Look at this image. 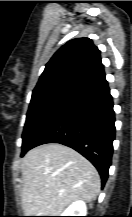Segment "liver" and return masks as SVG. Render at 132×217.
<instances>
[{
  "instance_id": "6515ba94",
  "label": "liver",
  "mask_w": 132,
  "mask_h": 217,
  "mask_svg": "<svg viewBox=\"0 0 132 217\" xmlns=\"http://www.w3.org/2000/svg\"><path fill=\"white\" fill-rule=\"evenodd\" d=\"M25 216H59L77 200L91 202L100 192L96 168L81 154L58 143L30 150L21 163Z\"/></svg>"
}]
</instances>
